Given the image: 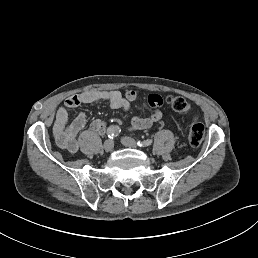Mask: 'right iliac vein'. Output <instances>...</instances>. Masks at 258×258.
<instances>
[{
	"instance_id": "1",
	"label": "right iliac vein",
	"mask_w": 258,
	"mask_h": 258,
	"mask_svg": "<svg viewBox=\"0 0 258 258\" xmlns=\"http://www.w3.org/2000/svg\"><path fill=\"white\" fill-rule=\"evenodd\" d=\"M114 148V141L112 139H107L103 144V149L106 152L112 151Z\"/></svg>"
}]
</instances>
